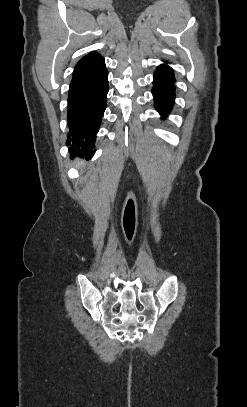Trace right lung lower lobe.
<instances>
[{
  "mask_svg": "<svg viewBox=\"0 0 247 407\" xmlns=\"http://www.w3.org/2000/svg\"><path fill=\"white\" fill-rule=\"evenodd\" d=\"M107 93L108 71L103 57L74 70L68 93L70 132L66 141L72 156L89 159L94 155Z\"/></svg>",
  "mask_w": 247,
  "mask_h": 407,
  "instance_id": "obj_1",
  "label": "right lung lower lobe"
}]
</instances>
